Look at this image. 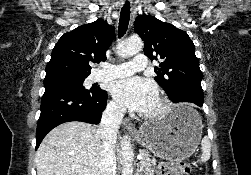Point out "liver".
<instances>
[{"instance_id":"6515ba94","label":"liver","mask_w":251,"mask_h":175,"mask_svg":"<svg viewBox=\"0 0 251 175\" xmlns=\"http://www.w3.org/2000/svg\"><path fill=\"white\" fill-rule=\"evenodd\" d=\"M101 151L96 125L62 123L47 133L37 149V175H99Z\"/></svg>"}]
</instances>
